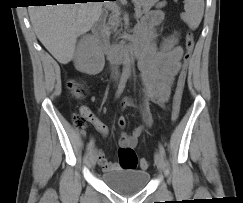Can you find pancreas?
<instances>
[{"mask_svg":"<svg viewBox=\"0 0 243 203\" xmlns=\"http://www.w3.org/2000/svg\"><path fill=\"white\" fill-rule=\"evenodd\" d=\"M159 0H132L135 6V11L142 15L144 13H147ZM166 5V2L159 3L157 7H163ZM119 11H113V13L110 15L108 22L105 26V33L106 35H109L111 32H115L118 34L117 28L121 24V19L119 17Z\"/></svg>","mask_w":243,"mask_h":203,"instance_id":"obj_1","label":"pancreas"}]
</instances>
